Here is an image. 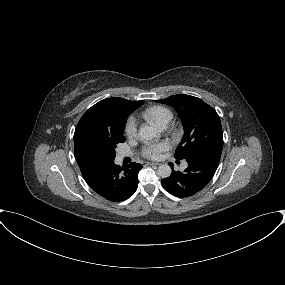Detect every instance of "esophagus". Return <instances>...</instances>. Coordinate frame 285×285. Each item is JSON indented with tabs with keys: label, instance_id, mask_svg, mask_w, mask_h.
Returning a JSON list of instances; mask_svg holds the SVG:
<instances>
[{
	"label": "esophagus",
	"instance_id": "esophagus-1",
	"mask_svg": "<svg viewBox=\"0 0 285 285\" xmlns=\"http://www.w3.org/2000/svg\"><path fill=\"white\" fill-rule=\"evenodd\" d=\"M146 165H160V163H156V162H147Z\"/></svg>",
	"mask_w": 285,
	"mask_h": 285
}]
</instances>
